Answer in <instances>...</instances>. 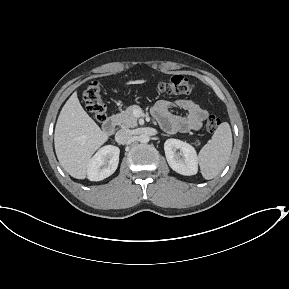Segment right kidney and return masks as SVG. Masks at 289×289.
Segmentation results:
<instances>
[{"label": "right kidney", "mask_w": 289, "mask_h": 289, "mask_svg": "<svg viewBox=\"0 0 289 289\" xmlns=\"http://www.w3.org/2000/svg\"><path fill=\"white\" fill-rule=\"evenodd\" d=\"M120 149L106 145L89 160L87 176L90 181H101L112 175L119 163Z\"/></svg>", "instance_id": "right-kidney-1"}]
</instances>
